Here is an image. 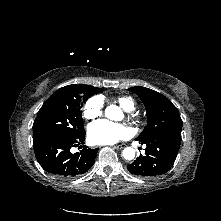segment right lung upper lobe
<instances>
[{
  "mask_svg": "<svg viewBox=\"0 0 221 221\" xmlns=\"http://www.w3.org/2000/svg\"><path fill=\"white\" fill-rule=\"evenodd\" d=\"M84 88L86 89V91L92 96L94 94L100 93L102 92L101 89L97 88V87H93V86H89V85H84Z\"/></svg>",
  "mask_w": 221,
  "mask_h": 221,
  "instance_id": "right-lung-upper-lobe-1",
  "label": "right lung upper lobe"
}]
</instances>
